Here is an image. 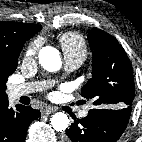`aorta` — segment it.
Returning <instances> with one entry per match:
<instances>
[{"instance_id": "aorta-1", "label": "aorta", "mask_w": 142, "mask_h": 142, "mask_svg": "<svg viewBox=\"0 0 142 142\" xmlns=\"http://www.w3.org/2000/svg\"><path fill=\"white\" fill-rule=\"evenodd\" d=\"M38 58L41 66L47 71L54 72L61 68L60 53L55 47H42L39 50ZM51 125L56 131H64L69 126V119L66 114L58 112L52 116Z\"/></svg>"}]
</instances>
